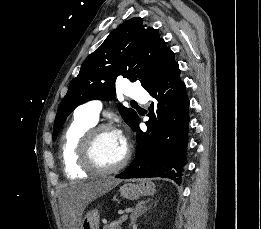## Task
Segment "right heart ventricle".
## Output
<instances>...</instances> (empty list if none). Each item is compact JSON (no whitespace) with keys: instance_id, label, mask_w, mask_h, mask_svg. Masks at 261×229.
I'll list each match as a JSON object with an SVG mask.
<instances>
[{"instance_id":"right-heart-ventricle-1","label":"right heart ventricle","mask_w":261,"mask_h":229,"mask_svg":"<svg viewBox=\"0 0 261 229\" xmlns=\"http://www.w3.org/2000/svg\"><path fill=\"white\" fill-rule=\"evenodd\" d=\"M95 124L82 115L80 107L75 110L73 119L64 131L59 145L61 164L66 173L86 174L88 172L80 159V145L84 135Z\"/></svg>"}]
</instances>
